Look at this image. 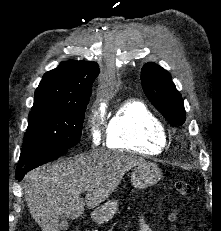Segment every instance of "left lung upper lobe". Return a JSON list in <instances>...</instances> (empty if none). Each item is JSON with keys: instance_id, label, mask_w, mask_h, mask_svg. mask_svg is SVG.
I'll return each instance as SVG.
<instances>
[{"instance_id": "obj_1", "label": "left lung upper lobe", "mask_w": 221, "mask_h": 231, "mask_svg": "<svg viewBox=\"0 0 221 231\" xmlns=\"http://www.w3.org/2000/svg\"><path fill=\"white\" fill-rule=\"evenodd\" d=\"M141 82L148 99L168 122L183 125L186 119L183 100L170 74L154 63H147L141 70Z\"/></svg>"}]
</instances>
